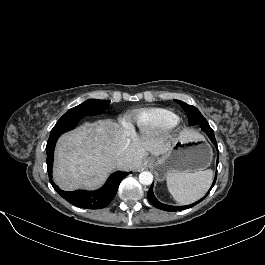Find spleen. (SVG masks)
<instances>
[{
  "label": "spleen",
  "instance_id": "obj_1",
  "mask_svg": "<svg viewBox=\"0 0 265 265\" xmlns=\"http://www.w3.org/2000/svg\"><path fill=\"white\" fill-rule=\"evenodd\" d=\"M167 187L173 198L182 205L191 204L201 197L209 189L213 171H197L194 173L173 172L166 177Z\"/></svg>",
  "mask_w": 265,
  "mask_h": 265
}]
</instances>
